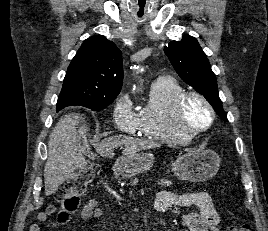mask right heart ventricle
I'll return each mask as SVG.
<instances>
[{
  "instance_id": "obj_1",
  "label": "right heart ventricle",
  "mask_w": 268,
  "mask_h": 231,
  "mask_svg": "<svg viewBox=\"0 0 268 231\" xmlns=\"http://www.w3.org/2000/svg\"><path fill=\"white\" fill-rule=\"evenodd\" d=\"M183 91L172 77H159L152 82L148 101L138 112L139 127L146 138L155 142L185 141L173 121L174 101Z\"/></svg>"
}]
</instances>
